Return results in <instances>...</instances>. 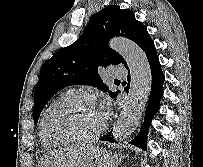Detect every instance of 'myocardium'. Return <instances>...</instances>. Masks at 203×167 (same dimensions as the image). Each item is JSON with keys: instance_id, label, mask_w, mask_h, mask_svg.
<instances>
[{"instance_id": "1", "label": "myocardium", "mask_w": 203, "mask_h": 167, "mask_svg": "<svg viewBox=\"0 0 203 167\" xmlns=\"http://www.w3.org/2000/svg\"><path fill=\"white\" fill-rule=\"evenodd\" d=\"M78 99H86L90 100L91 97L89 94L82 92V91H77L74 93H71L69 96H67L65 99L60 101L53 109H51L48 114L45 116L44 121H43V129L45 134L52 140L57 141L62 144H85L92 142L96 139H98L101 134L104 132L106 128V121L103 120L102 126L92 135L87 136V137H81V138H67L64 136H61L59 134H56L53 132L50 128V122L51 120L61 113L63 110H65L70 104L75 102Z\"/></svg>"}]
</instances>
